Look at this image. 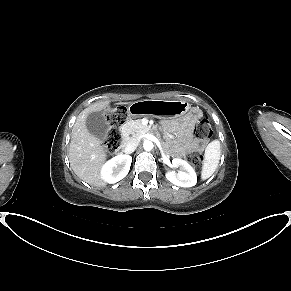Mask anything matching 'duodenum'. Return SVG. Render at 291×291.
I'll return each mask as SVG.
<instances>
[{
  "label": "duodenum",
  "instance_id": "1",
  "mask_svg": "<svg viewBox=\"0 0 291 291\" xmlns=\"http://www.w3.org/2000/svg\"><path fill=\"white\" fill-rule=\"evenodd\" d=\"M126 143L127 140L123 139V143L119 144V147H117V153H122L124 149H126Z\"/></svg>",
  "mask_w": 291,
  "mask_h": 291
}]
</instances>
